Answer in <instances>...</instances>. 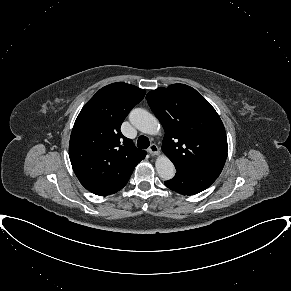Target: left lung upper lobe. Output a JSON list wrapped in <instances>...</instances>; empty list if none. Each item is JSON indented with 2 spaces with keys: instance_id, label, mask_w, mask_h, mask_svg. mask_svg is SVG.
<instances>
[{
  "instance_id": "left-lung-upper-lobe-1",
  "label": "left lung upper lobe",
  "mask_w": 291,
  "mask_h": 291,
  "mask_svg": "<svg viewBox=\"0 0 291 291\" xmlns=\"http://www.w3.org/2000/svg\"><path fill=\"white\" fill-rule=\"evenodd\" d=\"M146 99L164 127L162 150L175 167L220 174L228 145L215 109L184 84L157 88Z\"/></svg>"
}]
</instances>
